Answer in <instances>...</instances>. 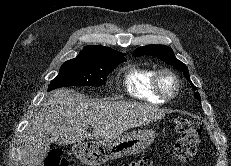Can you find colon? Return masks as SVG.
<instances>
[{
    "label": "colon",
    "mask_w": 231,
    "mask_h": 166,
    "mask_svg": "<svg viewBox=\"0 0 231 166\" xmlns=\"http://www.w3.org/2000/svg\"><path fill=\"white\" fill-rule=\"evenodd\" d=\"M175 130L178 134V139L173 147V157L180 163H187L196 154L201 126L194 119L179 117L175 121ZM43 166H70V164L63 151L55 148L49 151ZM122 166H153V160L144 156L126 162Z\"/></svg>",
    "instance_id": "obj_1"
}]
</instances>
